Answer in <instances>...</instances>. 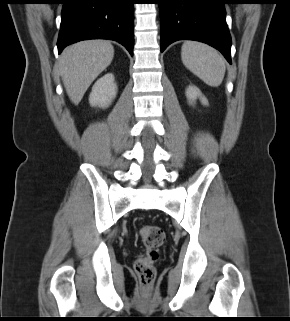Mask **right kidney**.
Segmentation results:
<instances>
[{
	"instance_id": "ca27d5eb",
	"label": "right kidney",
	"mask_w": 290,
	"mask_h": 321,
	"mask_svg": "<svg viewBox=\"0 0 290 321\" xmlns=\"http://www.w3.org/2000/svg\"><path fill=\"white\" fill-rule=\"evenodd\" d=\"M117 94V85L114 82V75L107 73L98 79L92 87L89 95V103L93 107H108Z\"/></svg>"
}]
</instances>
